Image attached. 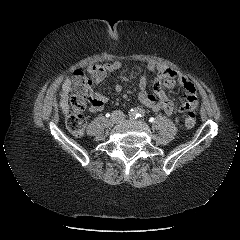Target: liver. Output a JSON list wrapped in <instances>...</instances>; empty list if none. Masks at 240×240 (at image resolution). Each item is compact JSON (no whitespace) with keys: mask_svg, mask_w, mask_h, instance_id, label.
Listing matches in <instances>:
<instances>
[{"mask_svg":"<svg viewBox=\"0 0 240 240\" xmlns=\"http://www.w3.org/2000/svg\"><path fill=\"white\" fill-rule=\"evenodd\" d=\"M71 91V81L70 79H66L64 83L62 84V92L60 93V108L62 109V112L64 114H67L69 112V105H68V99H69V92Z\"/></svg>","mask_w":240,"mask_h":240,"instance_id":"obj_1","label":"liver"}]
</instances>
